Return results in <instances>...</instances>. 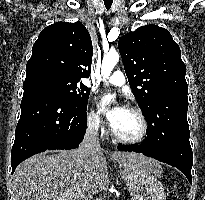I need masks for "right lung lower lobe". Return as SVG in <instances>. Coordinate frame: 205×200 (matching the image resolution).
<instances>
[{
    "mask_svg": "<svg viewBox=\"0 0 205 200\" xmlns=\"http://www.w3.org/2000/svg\"><path fill=\"white\" fill-rule=\"evenodd\" d=\"M11 151L12 173L23 160L54 149H74L84 138L86 109L67 101L51 86L26 83Z\"/></svg>",
    "mask_w": 205,
    "mask_h": 200,
    "instance_id": "right-lung-lower-lobe-1",
    "label": "right lung lower lobe"
}]
</instances>
